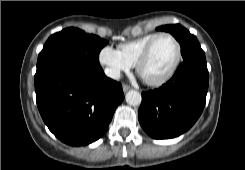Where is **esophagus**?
Segmentation results:
<instances>
[{"label":"esophagus","mask_w":245,"mask_h":170,"mask_svg":"<svg viewBox=\"0 0 245 170\" xmlns=\"http://www.w3.org/2000/svg\"><path fill=\"white\" fill-rule=\"evenodd\" d=\"M122 89L123 92H127L130 89V87L128 85H123Z\"/></svg>","instance_id":"1"}]
</instances>
